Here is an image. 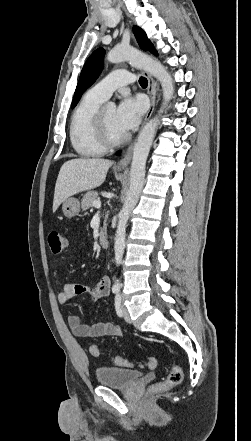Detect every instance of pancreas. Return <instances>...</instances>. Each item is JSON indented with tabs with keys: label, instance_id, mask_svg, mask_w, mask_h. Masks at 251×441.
I'll return each instance as SVG.
<instances>
[{
	"label": "pancreas",
	"instance_id": "pancreas-1",
	"mask_svg": "<svg viewBox=\"0 0 251 441\" xmlns=\"http://www.w3.org/2000/svg\"><path fill=\"white\" fill-rule=\"evenodd\" d=\"M95 200H98V193L96 191H88L82 198V208L84 209H90L93 207V202ZM105 229V224H104V228L102 229V232Z\"/></svg>",
	"mask_w": 251,
	"mask_h": 441
}]
</instances>
